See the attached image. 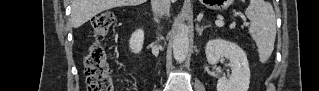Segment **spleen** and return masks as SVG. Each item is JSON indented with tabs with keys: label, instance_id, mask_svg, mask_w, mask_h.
Segmentation results:
<instances>
[{
	"label": "spleen",
	"instance_id": "3e777b00",
	"mask_svg": "<svg viewBox=\"0 0 319 91\" xmlns=\"http://www.w3.org/2000/svg\"><path fill=\"white\" fill-rule=\"evenodd\" d=\"M245 14L251 22L249 34L257 45L259 60L266 63L274 50L276 38L273 7L264 0H251Z\"/></svg>",
	"mask_w": 319,
	"mask_h": 91
}]
</instances>
